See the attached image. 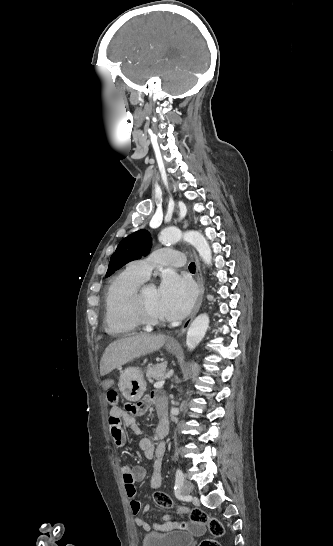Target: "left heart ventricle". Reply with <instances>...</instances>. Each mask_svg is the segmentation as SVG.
I'll return each mask as SVG.
<instances>
[{"instance_id": "1", "label": "left heart ventricle", "mask_w": 333, "mask_h": 546, "mask_svg": "<svg viewBox=\"0 0 333 546\" xmlns=\"http://www.w3.org/2000/svg\"><path fill=\"white\" fill-rule=\"evenodd\" d=\"M143 304L147 312L157 318H164L158 304V292L153 286H147L143 291Z\"/></svg>"}]
</instances>
